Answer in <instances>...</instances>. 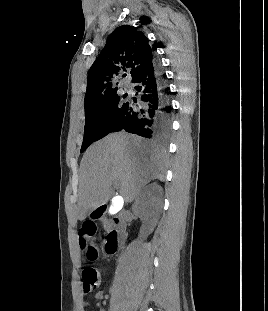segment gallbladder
Here are the masks:
<instances>
[{"instance_id": "gallbladder-1", "label": "gallbladder", "mask_w": 268, "mask_h": 311, "mask_svg": "<svg viewBox=\"0 0 268 311\" xmlns=\"http://www.w3.org/2000/svg\"><path fill=\"white\" fill-rule=\"evenodd\" d=\"M124 204V199H111V201L107 204L109 209V218H112V216H115L116 213H119L120 208H123Z\"/></svg>"}]
</instances>
